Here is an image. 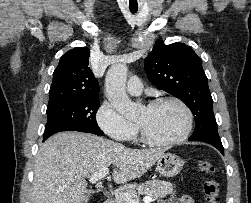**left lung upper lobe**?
Listing matches in <instances>:
<instances>
[{"instance_id": "obj_1", "label": "left lung upper lobe", "mask_w": 251, "mask_h": 203, "mask_svg": "<svg viewBox=\"0 0 251 203\" xmlns=\"http://www.w3.org/2000/svg\"><path fill=\"white\" fill-rule=\"evenodd\" d=\"M149 81L182 100L192 111L195 140H220L213 113V100L202 61L191 47L182 43H155L144 63Z\"/></svg>"}]
</instances>
